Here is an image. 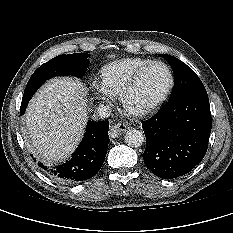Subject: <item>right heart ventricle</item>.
I'll return each instance as SVG.
<instances>
[{"instance_id": "e07e8e85", "label": "right heart ventricle", "mask_w": 233, "mask_h": 233, "mask_svg": "<svg viewBox=\"0 0 233 233\" xmlns=\"http://www.w3.org/2000/svg\"><path fill=\"white\" fill-rule=\"evenodd\" d=\"M153 62L146 58H125L111 62L100 70V86L113 96H121L133 76Z\"/></svg>"}]
</instances>
